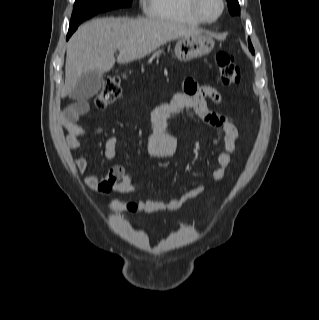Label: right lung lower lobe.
Returning <instances> with one entry per match:
<instances>
[{"instance_id": "1", "label": "right lung lower lobe", "mask_w": 319, "mask_h": 320, "mask_svg": "<svg viewBox=\"0 0 319 320\" xmlns=\"http://www.w3.org/2000/svg\"><path fill=\"white\" fill-rule=\"evenodd\" d=\"M75 31V30H74ZM74 31H68L67 39L72 35Z\"/></svg>"}]
</instances>
